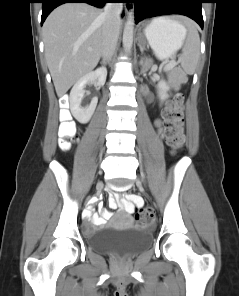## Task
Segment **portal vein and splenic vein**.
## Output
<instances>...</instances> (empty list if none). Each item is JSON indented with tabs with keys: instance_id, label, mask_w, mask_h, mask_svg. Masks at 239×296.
I'll return each mask as SVG.
<instances>
[{
	"instance_id": "obj_1",
	"label": "portal vein and splenic vein",
	"mask_w": 239,
	"mask_h": 296,
	"mask_svg": "<svg viewBox=\"0 0 239 296\" xmlns=\"http://www.w3.org/2000/svg\"><path fill=\"white\" fill-rule=\"evenodd\" d=\"M90 50V49H89ZM173 67V63H169L165 66L166 69H171Z\"/></svg>"
}]
</instances>
